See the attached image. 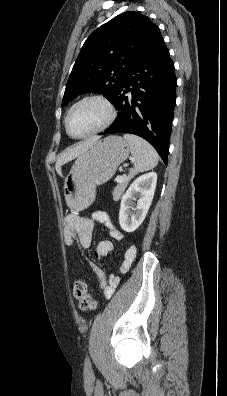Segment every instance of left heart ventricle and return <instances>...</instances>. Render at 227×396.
Listing matches in <instances>:
<instances>
[{"mask_svg":"<svg viewBox=\"0 0 227 396\" xmlns=\"http://www.w3.org/2000/svg\"><path fill=\"white\" fill-rule=\"evenodd\" d=\"M107 117L105 107L97 101H89L76 107L70 114L68 126L75 136L84 135L98 127Z\"/></svg>","mask_w":227,"mask_h":396,"instance_id":"b2bd125f","label":"left heart ventricle"}]
</instances>
